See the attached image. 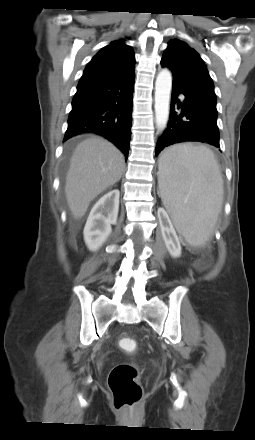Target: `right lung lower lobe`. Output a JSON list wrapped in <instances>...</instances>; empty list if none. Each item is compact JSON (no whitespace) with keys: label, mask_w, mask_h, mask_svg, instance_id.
I'll use <instances>...</instances> for the list:
<instances>
[{"label":"right lung lower lobe","mask_w":255,"mask_h":440,"mask_svg":"<svg viewBox=\"0 0 255 440\" xmlns=\"http://www.w3.org/2000/svg\"><path fill=\"white\" fill-rule=\"evenodd\" d=\"M134 68L95 85L77 88L64 141L84 132H94L129 152L132 126Z\"/></svg>","instance_id":"obj_1"}]
</instances>
